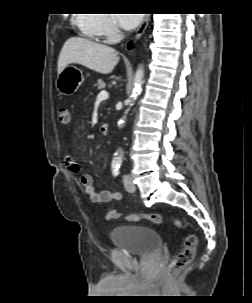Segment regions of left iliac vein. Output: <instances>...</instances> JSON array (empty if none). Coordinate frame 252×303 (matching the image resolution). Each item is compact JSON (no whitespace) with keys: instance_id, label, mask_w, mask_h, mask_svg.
I'll use <instances>...</instances> for the list:
<instances>
[{"instance_id":"left-iliac-vein-1","label":"left iliac vein","mask_w":252,"mask_h":303,"mask_svg":"<svg viewBox=\"0 0 252 303\" xmlns=\"http://www.w3.org/2000/svg\"><path fill=\"white\" fill-rule=\"evenodd\" d=\"M123 181H124V187L127 191H129V192L135 191V186L132 183V180H131L130 176L125 175L124 178H123Z\"/></svg>"}]
</instances>
